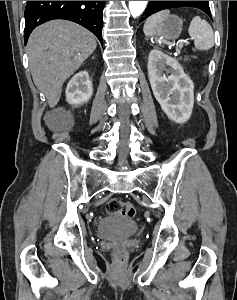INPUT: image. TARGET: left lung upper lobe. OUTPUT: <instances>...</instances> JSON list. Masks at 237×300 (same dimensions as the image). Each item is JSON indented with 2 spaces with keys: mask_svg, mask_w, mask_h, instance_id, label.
<instances>
[{
  "mask_svg": "<svg viewBox=\"0 0 237 300\" xmlns=\"http://www.w3.org/2000/svg\"><path fill=\"white\" fill-rule=\"evenodd\" d=\"M177 7L198 8L208 14L210 18H212L208 1H149L148 7L145 10L140 21L161 10Z\"/></svg>",
  "mask_w": 237,
  "mask_h": 300,
  "instance_id": "5c2ea615",
  "label": "left lung upper lobe"
}]
</instances>
